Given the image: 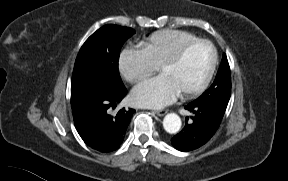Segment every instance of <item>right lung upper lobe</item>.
Wrapping results in <instances>:
<instances>
[{"instance_id": "1", "label": "right lung upper lobe", "mask_w": 288, "mask_h": 181, "mask_svg": "<svg viewBox=\"0 0 288 181\" xmlns=\"http://www.w3.org/2000/svg\"><path fill=\"white\" fill-rule=\"evenodd\" d=\"M77 116H78V114H76V115H73V117H74V118H76Z\"/></svg>"}]
</instances>
